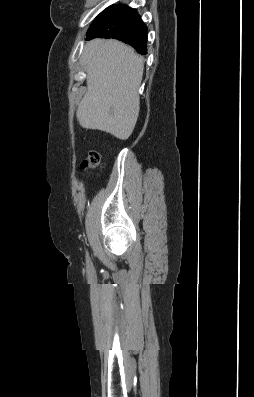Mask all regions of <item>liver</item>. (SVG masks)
Returning <instances> with one entry per match:
<instances>
[{
	"label": "liver",
	"mask_w": 254,
	"mask_h": 397,
	"mask_svg": "<svg viewBox=\"0 0 254 397\" xmlns=\"http://www.w3.org/2000/svg\"><path fill=\"white\" fill-rule=\"evenodd\" d=\"M81 64L87 91L77 110L80 125L128 139L140 110L144 58L120 41L93 39L84 47Z\"/></svg>",
	"instance_id": "liver-1"
}]
</instances>
